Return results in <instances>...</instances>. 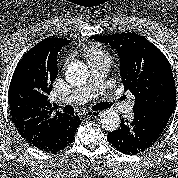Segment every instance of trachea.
Instances as JSON below:
<instances>
[{"mask_svg": "<svg viewBox=\"0 0 178 178\" xmlns=\"http://www.w3.org/2000/svg\"><path fill=\"white\" fill-rule=\"evenodd\" d=\"M54 106H55L56 109H61L65 113L72 114V115L75 113V110H74L73 106L66 105L65 107H61V106H58L57 104H54ZM107 107H108V104L100 103V104H96V105L92 106L91 109L93 111H98V110H101V109H105Z\"/></svg>", "mask_w": 178, "mask_h": 178, "instance_id": "3493384b", "label": "trachea"}]
</instances>
